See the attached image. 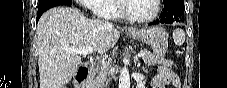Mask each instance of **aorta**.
<instances>
[{
  "mask_svg": "<svg viewBox=\"0 0 227 88\" xmlns=\"http://www.w3.org/2000/svg\"><path fill=\"white\" fill-rule=\"evenodd\" d=\"M119 88H130V76L126 66L121 70L120 73Z\"/></svg>",
  "mask_w": 227,
  "mask_h": 88,
  "instance_id": "1",
  "label": "aorta"
}]
</instances>
